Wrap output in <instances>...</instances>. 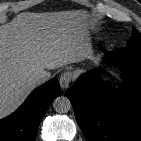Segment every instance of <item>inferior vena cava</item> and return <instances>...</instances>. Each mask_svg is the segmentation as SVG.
I'll return each mask as SVG.
<instances>
[{"instance_id": "602c4592", "label": "inferior vena cava", "mask_w": 141, "mask_h": 141, "mask_svg": "<svg viewBox=\"0 0 141 141\" xmlns=\"http://www.w3.org/2000/svg\"><path fill=\"white\" fill-rule=\"evenodd\" d=\"M34 76L37 80L39 81H46L50 78L51 73L47 70L44 69H38L35 73Z\"/></svg>"}]
</instances>
